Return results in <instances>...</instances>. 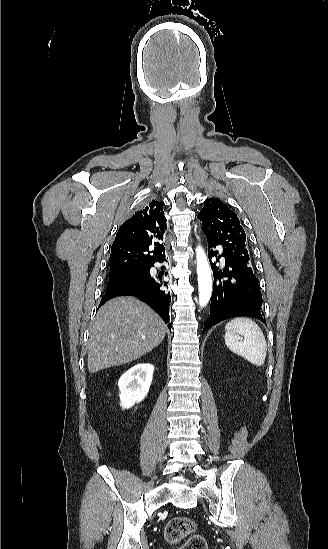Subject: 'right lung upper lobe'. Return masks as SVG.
I'll list each match as a JSON object with an SVG mask.
<instances>
[{
	"instance_id": "cb5924a9",
	"label": "right lung upper lobe",
	"mask_w": 328,
	"mask_h": 549,
	"mask_svg": "<svg viewBox=\"0 0 328 549\" xmlns=\"http://www.w3.org/2000/svg\"><path fill=\"white\" fill-rule=\"evenodd\" d=\"M163 205L151 200L121 225L111 247L110 274L148 270L165 255L160 243L167 226Z\"/></svg>"
}]
</instances>
